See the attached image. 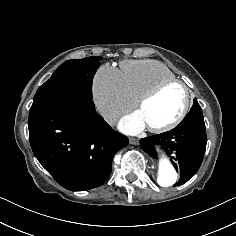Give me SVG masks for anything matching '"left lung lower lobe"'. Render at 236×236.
<instances>
[{"label":"left lung lower lobe","instance_id":"obj_1","mask_svg":"<svg viewBox=\"0 0 236 236\" xmlns=\"http://www.w3.org/2000/svg\"><path fill=\"white\" fill-rule=\"evenodd\" d=\"M206 143V128L201 110L189 112L171 131L142 138L140 147L152 158H157L155 146L164 149L176 171L180 172V180L174 184L177 186L187 182L198 171L203 161Z\"/></svg>","mask_w":236,"mask_h":236}]
</instances>
